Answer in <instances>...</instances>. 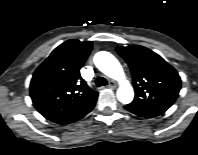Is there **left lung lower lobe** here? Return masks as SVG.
<instances>
[{
  "instance_id": "obj_1",
  "label": "left lung lower lobe",
  "mask_w": 198,
  "mask_h": 155,
  "mask_svg": "<svg viewBox=\"0 0 198 155\" xmlns=\"http://www.w3.org/2000/svg\"><path fill=\"white\" fill-rule=\"evenodd\" d=\"M124 108L130 111L131 113H134L138 116L146 117V118H152V117H156L158 115L163 114L160 111H145V110H141V109L129 106V105H126Z\"/></svg>"
}]
</instances>
